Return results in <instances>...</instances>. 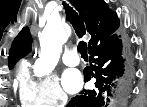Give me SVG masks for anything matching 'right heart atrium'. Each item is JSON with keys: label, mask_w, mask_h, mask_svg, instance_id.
<instances>
[{"label": "right heart atrium", "mask_w": 147, "mask_h": 107, "mask_svg": "<svg viewBox=\"0 0 147 107\" xmlns=\"http://www.w3.org/2000/svg\"><path fill=\"white\" fill-rule=\"evenodd\" d=\"M20 99L23 104L57 107L66 104L68 95L54 75L48 74L38 80L28 69H23L20 72Z\"/></svg>", "instance_id": "d8ad5b80"}]
</instances>
